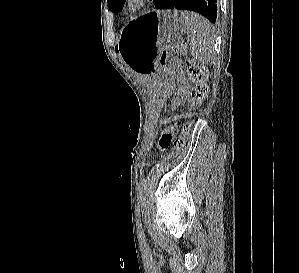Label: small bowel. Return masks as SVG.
<instances>
[{"label": "small bowel", "instance_id": "1", "mask_svg": "<svg viewBox=\"0 0 299 273\" xmlns=\"http://www.w3.org/2000/svg\"><path fill=\"white\" fill-rule=\"evenodd\" d=\"M174 131V127H170L161 137L160 147L167 148L171 143L172 133Z\"/></svg>", "mask_w": 299, "mask_h": 273}]
</instances>
